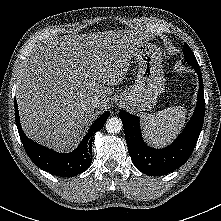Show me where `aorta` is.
Here are the masks:
<instances>
[{
    "label": "aorta",
    "mask_w": 221,
    "mask_h": 221,
    "mask_svg": "<svg viewBox=\"0 0 221 221\" xmlns=\"http://www.w3.org/2000/svg\"><path fill=\"white\" fill-rule=\"evenodd\" d=\"M106 130L109 133L117 134L122 130V121L117 117L109 118L106 122Z\"/></svg>",
    "instance_id": "obj_1"
}]
</instances>
